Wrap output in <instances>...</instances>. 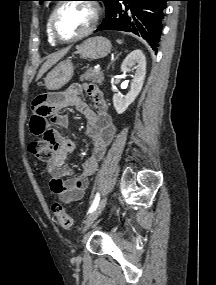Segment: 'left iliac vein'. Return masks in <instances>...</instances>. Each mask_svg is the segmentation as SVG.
Listing matches in <instances>:
<instances>
[{"label": "left iliac vein", "instance_id": "obj_1", "mask_svg": "<svg viewBox=\"0 0 216 285\" xmlns=\"http://www.w3.org/2000/svg\"><path fill=\"white\" fill-rule=\"evenodd\" d=\"M106 201L107 199L103 198L101 202L98 204V206L96 207V209L87 217L85 221L84 231H86L91 226V224L98 218V216L101 214L102 210L104 209L106 205Z\"/></svg>", "mask_w": 216, "mask_h": 285}]
</instances>
